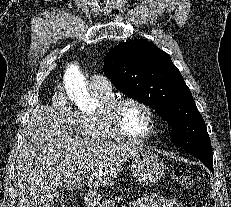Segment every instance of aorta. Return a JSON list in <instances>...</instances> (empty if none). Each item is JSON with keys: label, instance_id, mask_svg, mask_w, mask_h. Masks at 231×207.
<instances>
[{"label": "aorta", "instance_id": "aorta-1", "mask_svg": "<svg viewBox=\"0 0 231 207\" xmlns=\"http://www.w3.org/2000/svg\"><path fill=\"white\" fill-rule=\"evenodd\" d=\"M64 84L69 99L79 108L94 106L95 100L90 95L84 76L76 65H70L64 76Z\"/></svg>", "mask_w": 231, "mask_h": 207}]
</instances>
